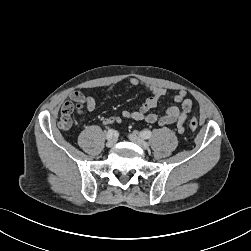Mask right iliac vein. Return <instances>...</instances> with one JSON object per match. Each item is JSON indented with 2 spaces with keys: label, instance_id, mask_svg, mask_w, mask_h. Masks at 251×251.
I'll list each match as a JSON object with an SVG mask.
<instances>
[{
  "label": "right iliac vein",
  "instance_id": "obj_1",
  "mask_svg": "<svg viewBox=\"0 0 251 251\" xmlns=\"http://www.w3.org/2000/svg\"><path fill=\"white\" fill-rule=\"evenodd\" d=\"M115 143H116V139H115V138H111V139H109V140L107 141L106 146H107L108 148H110V147H112Z\"/></svg>",
  "mask_w": 251,
  "mask_h": 251
}]
</instances>
